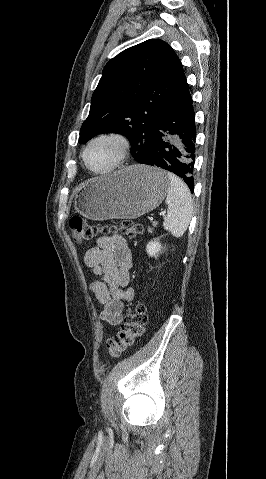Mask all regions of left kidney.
Masks as SVG:
<instances>
[{
	"label": "left kidney",
	"instance_id": "left-kidney-1",
	"mask_svg": "<svg viewBox=\"0 0 266 479\" xmlns=\"http://www.w3.org/2000/svg\"><path fill=\"white\" fill-rule=\"evenodd\" d=\"M161 249H162V245L159 242V240H156V239L151 240L146 246V252L151 257L158 256L159 252H161Z\"/></svg>",
	"mask_w": 266,
	"mask_h": 479
}]
</instances>
